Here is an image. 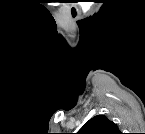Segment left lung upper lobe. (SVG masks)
<instances>
[{
  "label": "left lung upper lobe",
  "mask_w": 145,
  "mask_h": 134,
  "mask_svg": "<svg viewBox=\"0 0 145 134\" xmlns=\"http://www.w3.org/2000/svg\"><path fill=\"white\" fill-rule=\"evenodd\" d=\"M78 134H120V131L106 116L97 115L87 121Z\"/></svg>",
  "instance_id": "obj_1"
}]
</instances>
